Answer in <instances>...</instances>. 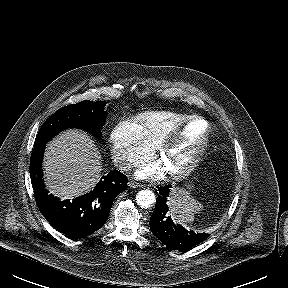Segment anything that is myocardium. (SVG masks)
Here are the masks:
<instances>
[{"instance_id": "f54148a6", "label": "myocardium", "mask_w": 288, "mask_h": 288, "mask_svg": "<svg viewBox=\"0 0 288 288\" xmlns=\"http://www.w3.org/2000/svg\"><path fill=\"white\" fill-rule=\"evenodd\" d=\"M194 121H201L205 124L206 128L204 136L200 144L196 148V150L193 152L192 156L189 158V160L178 169L168 172L169 176L174 179H181L183 177H186L196 168L198 162L200 161L202 155L204 154L205 150L209 145L211 135V125L205 118L201 116L198 115L189 116L182 122L175 125L166 134H164L157 145V154L159 157H162L165 154V152L169 149V147L172 145V143L178 138L181 132L186 128V126Z\"/></svg>"}]
</instances>
